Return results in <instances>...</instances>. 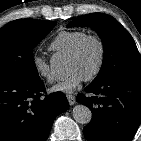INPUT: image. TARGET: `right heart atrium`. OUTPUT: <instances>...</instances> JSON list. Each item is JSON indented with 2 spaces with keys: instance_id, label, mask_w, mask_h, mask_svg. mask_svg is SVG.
I'll list each match as a JSON object with an SVG mask.
<instances>
[{
  "instance_id": "d8ad5b80",
  "label": "right heart atrium",
  "mask_w": 141,
  "mask_h": 141,
  "mask_svg": "<svg viewBox=\"0 0 141 141\" xmlns=\"http://www.w3.org/2000/svg\"><path fill=\"white\" fill-rule=\"evenodd\" d=\"M32 66L36 74L48 83L54 80L49 62L44 56L34 54L32 56Z\"/></svg>"
}]
</instances>
